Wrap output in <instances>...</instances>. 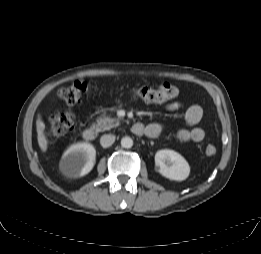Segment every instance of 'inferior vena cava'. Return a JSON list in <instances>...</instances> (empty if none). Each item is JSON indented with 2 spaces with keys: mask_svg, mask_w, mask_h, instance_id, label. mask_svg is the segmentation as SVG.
I'll return each instance as SVG.
<instances>
[{
  "mask_svg": "<svg viewBox=\"0 0 261 254\" xmlns=\"http://www.w3.org/2000/svg\"><path fill=\"white\" fill-rule=\"evenodd\" d=\"M115 142V136L111 134L103 135L100 138V144L102 147L107 148Z\"/></svg>",
  "mask_w": 261,
  "mask_h": 254,
  "instance_id": "obj_1",
  "label": "inferior vena cava"
}]
</instances>
